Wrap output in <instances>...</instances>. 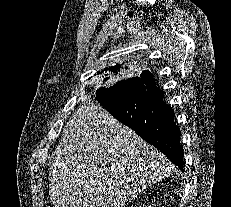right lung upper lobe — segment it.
Masks as SVG:
<instances>
[{
    "mask_svg": "<svg viewBox=\"0 0 231 207\" xmlns=\"http://www.w3.org/2000/svg\"><path fill=\"white\" fill-rule=\"evenodd\" d=\"M121 68L123 67H121V65L119 64L105 68V70L107 71V75H108V77H106V80L119 76L121 73Z\"/></svg>",
    "mask_w": 231,
    "mask_h": 207,
    "instance_id": "1",
    "label": "right lung upper lobe"
}]
</instances>
